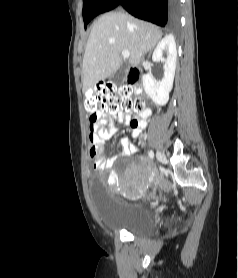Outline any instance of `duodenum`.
<instances>
[{
	"label": "duodenum",
	"instance_id": "410a0bca",
	"mask_svg": "<svg viewBox=\"0 0 238 278\" xmlns=\"http://www.w3.org/2000/svg\"><path fill=\"white\" fill-rule=\"evenodd\" d=\"M139 80V72L136 69H129L127 73V82L129 85H135Z\"/></svg>",
	"mask_w": 238,
	"mask_h": 278
}]
</instances>
